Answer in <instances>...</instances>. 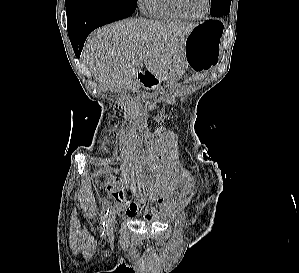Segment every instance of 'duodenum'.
<instances>
[{
    "label": "duodenum",
    "mask_w": 299,
    "mask_h": 273,
    "mask_svg": "<svg viewBox=\"0 0 299 273\" xmlns=\"http://www.w3.org/2000/svg\"><path fill=\"white\" fill-rule=\"evenodd\" d=\"M138 80L146 87H150L155 80L154 74L149 70L139 71Z\"/></svg>",
    "instance_id": "duodenum-1"
}]
</instances>
